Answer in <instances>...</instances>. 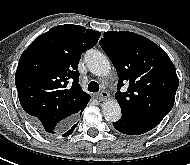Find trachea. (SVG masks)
<instances>
[{
	"mask_svg": "<svg viewBox=\"0 0 190 165\" xmlns=\"http://www.w3.org/2000/svg\"><path fill=\"white\" fill-rule=\"evenodd\" d=\"M99 89H100L99 84L95 81H91L88 84V91H90V92H98Z\"/></svg>",
	"mask_w": 190,
	"mask_h": 165,
	"instance_id": "1",
	"label": "trachea"
}]
</instances>
